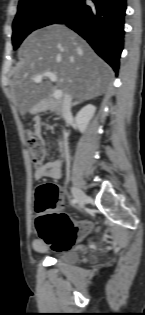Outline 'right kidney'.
Returning a JSON list of instances; mask_svg holds the SVG:
<instances>
[{"label":"right kidney","mask_w":145,"mask_h":315,"mask_svg":"<svg viewBox=\"0 0 145 315\" xmlns=\"http://www.w3.org/2000/svg\"><path fill=\"white\" fill-rule=\"evenodd\" d=\"M96 107L92 104L84 106L76 115L75 123L81 133L86 131L87 125L94 116Z\"/></svg>","instance_id":"1"}]
</instances>
